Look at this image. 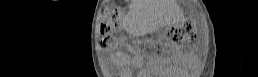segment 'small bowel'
Wrapping results in <instances>:
<instances>
[{
    "label": "small bowel",
    "instance_id": "1",
    "mask_svg": "<svg viewBox=\"0 0 258 77\" xmlns=\"http://www.w3.org/2000/svg\"><path fill=\"white\" fill-rule=\"evenodd\" d=\"M122 54L120 52L117 53V56H121ZM127 64L130 67H134V66H140L141 64V60L139 58L136 57H131L127 59Z\"/></svg>",
    "mask_w": 258,
    "mask_h": 77
}]
</instances>
